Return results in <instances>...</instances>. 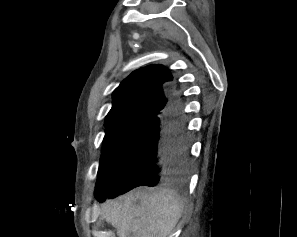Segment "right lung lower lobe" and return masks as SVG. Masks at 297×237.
Masks as SVG:
<instances>
[{
  "instance_id": "98d812e1",
  "label": "right lung lower lobe",
  "mask_w": 297,
  "mask_h": 237,
  "mask_svg": "<svg viewBox=\"0 0 297 237\" xmlns=\"http://www.w3.org/2000/svg\"><path fill=\"white\" fill-rule=\"evenodd\" d=\"M189 159L182 100L173 92L165 110L151 121L123 164L119 182L95 193L98 201L129 190L169 182L184 173Z\"/></svg>"
}]
</instances>
